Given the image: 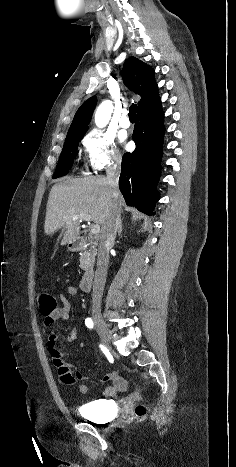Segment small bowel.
Listing matches in <instances>:
<instances>
[{"instance_id": "c3829d8e", "label": "small bowel", "mask_w": 236, "mask_h": 467, "mask_svg": "<svg viewBox=\"0 0 236 467\" xmlns=\"http://www.w3.org/2000/svg\"><path fill=\"white\" fill-rule=\"evenodd\" d=\"M67 293L70 296H76L78 290L75 286L69 285L67 287ZM58 300L60 306L49 316H45L44 324L46 327L51 328L55 321L61 320L66 321L69 318V312L71 310V302L64 294L58 295ZM68 342H75L79 340V332L77 330H72L68 333L67 336ZM57 334L55 332H50L48 335V348L52 363L58 370V376L60 380L69 385L76 384L78 381L86 379L79 371H74L73 366L70 363L65 362L64 356L65 353L57 349ZM102 382L110 383V386L107 387L103 396L110 397L114 396L116 393L123 391L126 388V381L124 378L120 377L116 372H110L100 378ZM89 386L86 384L80 385V391L82 393L89 392Z\"/></svg>"}]
</instances>
